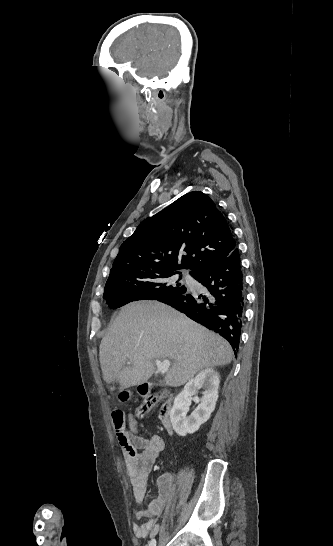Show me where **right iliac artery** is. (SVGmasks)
Listing matches in <instances>:
<instances>
[{
	"instance_id": "82829eb1",
	"label": "right iliac artery",
	"mask_w": 333,
	"mask_h": 546,
	"mask_svg": "<svg viewBox=\"0 0 333 546\" xmlns=\"http://www.w3.org/2000/svg\"><path fill=\"white\" fill-rule=\"evenodd\" d=\"M148 546H156V540H155V539H152V540L148 543Z\"/></svg>"
}]
</instances>
